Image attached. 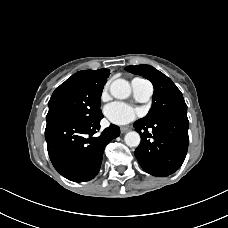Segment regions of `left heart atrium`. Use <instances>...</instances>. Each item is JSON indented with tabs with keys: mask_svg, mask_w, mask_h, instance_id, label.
Returning a JSON list of instances; mask_svg holds the SVG:
<instances>
[{
	"mask_svg": "<svg viewBox=\"0 0 228 228\" xmlns=\"http://www.w3.org/2000/svg\"><path fill=\"white\" fill-rule=\"evenodd\" d=\"M104 112L109 121L119 125L128 124L141 115L139 109L122 102L108 104L105 107Z\"/></svg>",
	"mask_w": 228,
	"mask_h": 228,
	"instance_id": "obj_1",
	"label": "left heart atrium"
}]
</instances>
